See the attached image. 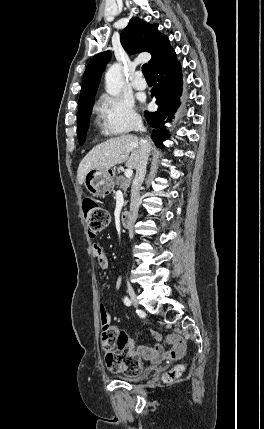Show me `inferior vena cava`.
Returning <instances> with one entry per match:
<instances>
[{"label":"inferior vena cava","mask_w":264,"mask_h":429,"mask_svg":"<svg viewBox=\"0 0 264 429\" xmlns=\"http://www.w3.org/2000/svg\"><path fill=\"white\" fill-rule=\"evenodd\" d=\"M134 130L140 131V132L146 131L141 119H138L135 121ZM140 147H141L140 160L136 167V175H135L132 190H131L130 210L132 212V221H130V226H129L130 228L128 229V232H129L128 234L130 236L134 233V228L136 227L135 222H137L138 220L137 215H138L139 206L141 204L140 188L145 178L147 162L151 151V146L149 142L145 139L140 140Z\"/></svg>","instance_id":"1"}]
</instances>
